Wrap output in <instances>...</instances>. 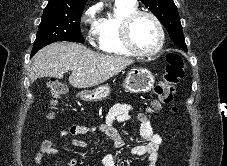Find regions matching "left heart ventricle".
<instances>
[{"instance_id": "left-heart-ventricle-1", "label": "left heart ventricle", "mask_w": 227, "mask_h": 166, "mask_svg": "<svg viewBox=\"0 0 227 166\" xmlns=\"http://www.w3.org/2000/svg\"><path fill=\"white\" fill-rule=\"evenodd\" d=\"M135 45L144 51L152 50L158 41V31L153 21L146 16L139 17L132 27Z\"/></svg>"}]
</instances>
